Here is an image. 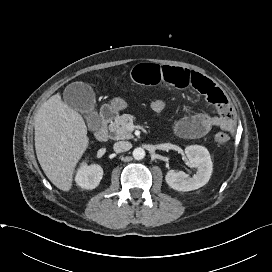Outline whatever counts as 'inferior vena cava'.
Instances as JSON below:
<instances>
[{
  "label": "inferior vena cava",
  "instance_id": "obj_1",
  "mask_svg": "<svg viewBox=\"0 0 272 272\" xmlns=\"http://www.w3.org/2000/svg\"><path fill=\"white\" fill-rule=\"evenodd\" d=\"M131 147H132V144L128 141H119V142H116L113 146L116 152H125L130 150Z\"/></svg>",
  "mask_w": 272,
  "mask_h": 272
}]
</instances>
